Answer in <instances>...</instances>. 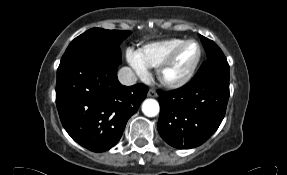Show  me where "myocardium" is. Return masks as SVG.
<instances>
[{
  "mask_svg": "<svg viewBox=\"0 0 287 175\" xmlns=\"http://www.w3.org/2000/svg\"><path fill=\"white\" fill-rule=\"evenodd\" d=\"M190 43H194L198 47V55H197V58H196L194 64L181 77L174 78V79L168 78L166 76V73L170 69L172 64L174 63L177 55L182 50V48H184L187 44H190ZM202 54H203L202 47H201L200 43L197 40H194V39L184 40L182 43H180L178 46H176L170 52V54L165 58V60L159 65L158 70H157L159 81L165 87L172 88V89H176V88H180V87L185 86L194 77V75H195V73H196V71H197V69H198V67L200 65V62H201V59H202Z\"/></svg>",
  "mask_w": 287,
  "mask_h": 175,
  "instance_id": "f54148a6",
  "label": "myocardium"
}]
</instances>
